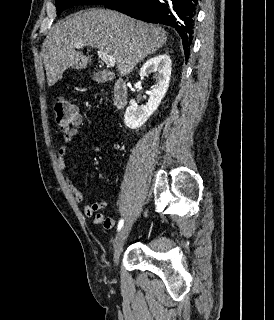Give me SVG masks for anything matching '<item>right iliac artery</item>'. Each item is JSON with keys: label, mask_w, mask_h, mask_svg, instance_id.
<instances>
[{"label": "right iliac artery", "mask_w": 274, "mask_h": 320, "mask_svg": "<svg viewBox=\"0 0 274 320\" xmlns=\"http://www.w3.org/2000/svg\"><path fill=\"white\" fill-rule=\"evenodd\" d=\"M123 223H124V221H123V219H121V220L119 221V223H118V227H117V230H118V231L122 228Z\"/></svg>", "instance_id": "1"}]
</instances>
